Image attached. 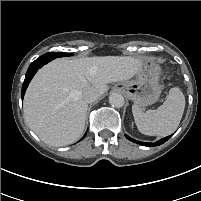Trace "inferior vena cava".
Returning a JSON list of instances; mask_svg holds the SVG:
<instances>
[{
	"label": "inferior vena cava",
	"instance_id": "inferior-vena-cava-1",
	"mask_svg": "<svg viewBox=\"0 0 201 201\" xmlns=\"http://www.w3.org/2000/svg\"><path fill=\"white\" fill-rule=\"evenodd\" d=\"M83 98L88 102V103H91L93 101H95L97 98H98V94L97 92L90 88V89H86L84 92H83Z\"/></svg>",
	"mask_w": 201,
	"mask_h": 201
}]
</instances>
